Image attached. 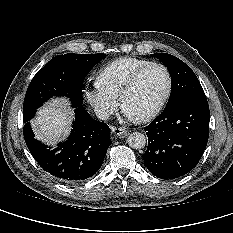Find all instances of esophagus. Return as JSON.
<instances>
[{
	"mask_svg": "<svg viewBox=\"0 0 233 233\" xmlns=\"http://www.w3.org/2000/svg\"><path fill=\"white\" fill-rule=\"evenodd\" d=\"M111 133L116 137H122L126 135L127 131L124 128L111 127Z\"/></svg>",
	"mask_w": 233,
	"mask_h": 233,
	"instance_id": "34e87169",
	"label": "esophagus"
}]
</instances>
